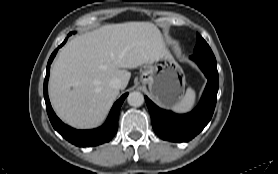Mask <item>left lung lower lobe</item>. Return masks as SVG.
Listing matches in <instances>:
<instances>
[{"instance_id": "1", "label": "left lung lower lobe", "mask_w": 278, "mask_h": 174, "mask_svg": "<svg viewBox=\"0 0 278 174\" xmlns=\"http://www.w3.org/2000/svg\"><path fill=\"white\" fill-rule=\"evenodd\" d=\"M190 58L198 64L208 79L200 103L192 112L184 115L174 114L160 109L145 97L153 129L164 140L188 142L204 129L215 109L219 79L217 64L194 55Z\"/></svg>"}]
</instances>
